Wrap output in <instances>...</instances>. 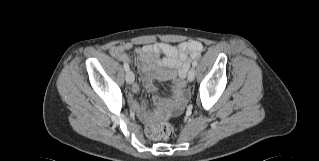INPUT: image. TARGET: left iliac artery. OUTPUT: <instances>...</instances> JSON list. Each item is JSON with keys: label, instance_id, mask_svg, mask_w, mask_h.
<instances>
[{"label": "left iliac artery", "instance_id": "1", "mask_svg": "<svg viewBox=\"0 0 319 161\" xmlns=\"http://www.w3.org/2000/svg\"><path fill=\"white\" fill-rule=\"evenodd\" d=\"M197 64H198V62H197V60H195V61H193L192 66H193V67H196Z\"/></svg>", "mask_w": 319, "mask_h": 161}]
</instances>
